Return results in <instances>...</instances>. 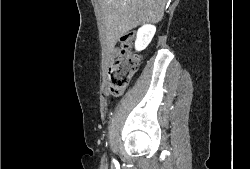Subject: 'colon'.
Wrapping results in <instances>:
<instances>
[{
	"instance_id": "1",
	"label": "colon",
	"mask_w": 250,
	"mask_h": 169,
	"mask_svg": "<svg viewBox=\"0 0 250 169\" xmlns=\"http://www.w3.org/2000/svg\"><path fill=\"white\" fill-rule=\"evenodd\" d=\"M135 34L121 36L119 39L118 54L114 57L107 72L108 89L114 96L121 95L128 86L134 73L137 71L139 55L132 51Z\"/></svg>"
}]
</instances>
